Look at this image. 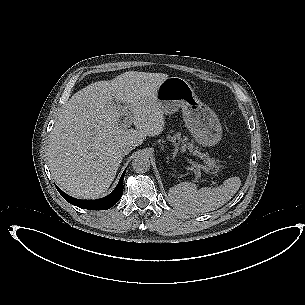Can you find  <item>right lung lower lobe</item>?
Here are the masks:
<instances>
[{"label": "right lung lower lobe", "instance_id": "right-lung-lower-lobe-1", "mask_svg": "<svg viewBox=\"0 0 305 305\" xmlns=\"http://www.w3.org/2000/svg\"><path fill=\"white\" fill-rule=\"evenodd\" d=\"M126 170L123 172L118 185L114 189L112 193H110L108 196L98 199V200H79L75 199L67 194H65L62 190H60L58 187L59 193L62 195V197L68 201L69 203L78 206L80 208L88 209V210H107L111 208L114 204H116L123 194V179L125 175Z\"/></svg>", "mask_w": 305, "mask_h": 305}]
</instances>
